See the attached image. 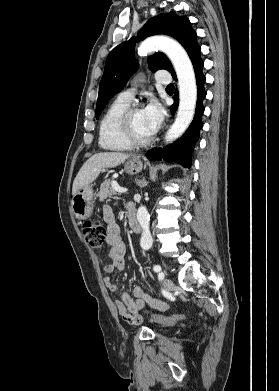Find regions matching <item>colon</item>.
Masks as SVG:
<instances>
[{"mask_svg":"<svg viewBox=\"0 0 279 391\" xmlns=\"http://www.w3.org/2000/svg\"><path fill=\"white\" fill-rule=\"evenodd\" d=\"M83 236L88 245L94 250H102L106 241L107 229L104 224L98 220L86 221L82 228ZM153 317L164 324L173 325L185 318L184 315L162 316L153 315Z\"/></svg>","mask_w":279,"mask_h":391,"instance_id":"1","label":"colon"}]
</instances>
